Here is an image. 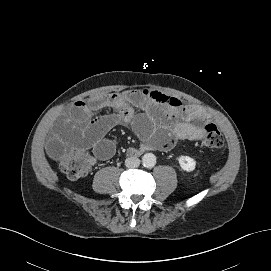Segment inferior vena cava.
<instances>
[{"instance_id": "obj_1", "label": "inferior vena cava", "mask_w": 271, "mask_h": 271, "mask_svg": "<svg viewBox=\"0 0 271 271\" xmlns=\"http://www.w3.org/2000/svg\"><path fill=\"white\" fill-rule=\"evenodd\" d=\"M125 165L128 168H137L140 165V160L137 157H129L125 160Z\"/></svg>"}]
</instances>
